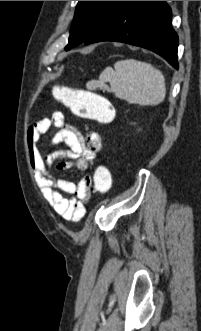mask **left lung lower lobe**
<instances>
[{"mask_svg": "<svg viewBox=\"0 0 201 331\" xmlns=\"http://www.w3.org/2000/svg\"><path fill=\"white\" fill-rule=\"evenodd\" d=\"M102 41L149 49L178 69V36L171 27V9L165 1H120L84 43Z\"/></svg>", "mask_w": 201, "mask_h": 331, "instance_id": "1", "label": "left lung lower lobe"}]
</instances>
